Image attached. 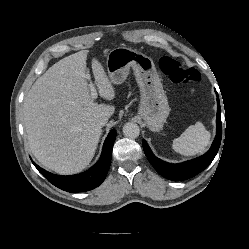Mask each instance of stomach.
Masks as SVG:
<instances>
[{"mask_svg":"<svg viewBox=\"0 0 249 249\" xmlns=\"http://www.w3.org/2000/svg\"><path fill=\"white\" fill-rule=\"evenodd\" d=\"M106 64L110 81L117 85L123 83L130 68L133 69L140 88L138 114L151 131H160L170 108L153 60L137 50L118 47L109 52Z\"/></svg>","mask_w":249,"mask_h":249,"instance_id":"stomach-1","label":"stomach"}]
</instances>
